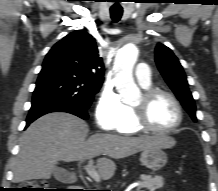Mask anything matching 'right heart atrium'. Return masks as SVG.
Instances as JSON below:
<instances>
[{
    "label": "right heart atrium",
    "instance_id": "obj_1",
    "mask_svg": "<svg viewBox=\"0 0 218 191\" xmlns=\"http://www.w3.org/2000/svg\"><path fill=\"white\" fill-rule=\"evenodd\" d=\"M127 106L112 88L101 92L94 110L97 126L103 131H115L126 118Z\"/></svg>",
    "mask_w": 218,
    "mask_h": 191
}]
</instances>
